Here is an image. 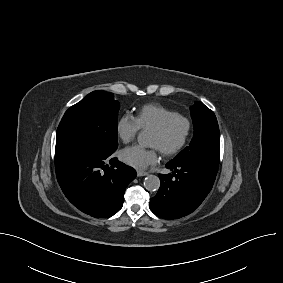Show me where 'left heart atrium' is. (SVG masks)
Here are the masks:
<instances>
[{
	"label": "left heart atrium",
	"instance_id": "left-heart-atrium-1",
	"mask_svg": "<svg viewBox=\"0 0 283 283\" xmlns=\"http://www.w3.org/2000/svg\"><path fill=\"white\" fill-rule=\"evenodd\" d=\"M159 151L157 147L146 149L139 145H134L125 148L121 153V157L128 165L138 169H145L158 161Z\"/></svg>",
	"mask_w": 283,
	"mask_h": 283
}]
</instances>
